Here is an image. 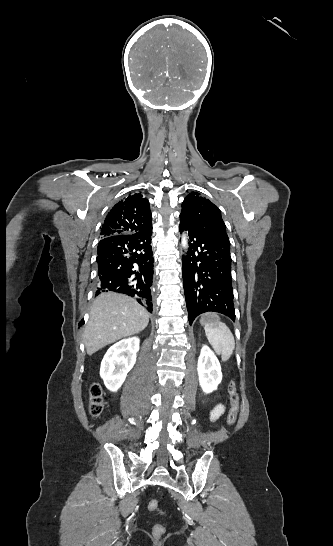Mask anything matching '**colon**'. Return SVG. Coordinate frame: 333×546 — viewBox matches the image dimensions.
Here are the masks:
<instances>
[{
    "instance_id": "1",
    "label": "colon",
    "mask_w": 333,
    "mask_h": 546,
    "mask_svg": "<svg viewBox=\"0 0 333 546\" xmlns=\"http://www.w3.org/2000/svg\"><path fill=\"white\" fill-rule=\"evenodd\" d=\"M230 392V409L227 414V423L229 425H233L236 420L239 413V398L238 394L236 392V388L234 384L230 385L229 388ZM104 409V400H103V391L99 384L95 383L91 386L90 389V405H89V411L90 414L94 417L99 416ZM148 509L150 511H160V503L156 499H152L148 503ZM165 532L164 526L160 524H156L153 528V533L156 536H162Z\"/></svg>"
}]
</instances>
